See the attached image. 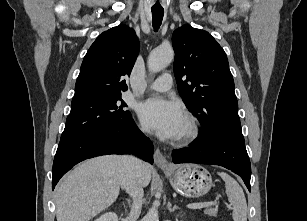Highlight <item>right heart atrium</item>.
I'll use <instances>...</instances> for the list:
<instances>
[{
	"instance_id": "obj_1",
	"label": "right heart atrium",
	"mask_w": 307,
	"mask_h": 221,
	"mask_svg": "<svg viewBox=\"0 0 307 221\" xmlns=\"http://www.w3.org/2000/svg\"><path fill=\"white\" fill-rule=\"evenodd\" d=\"M141 132L142 133H147V130L144 127H141Z\"/></svg>"
}]
</instances>
